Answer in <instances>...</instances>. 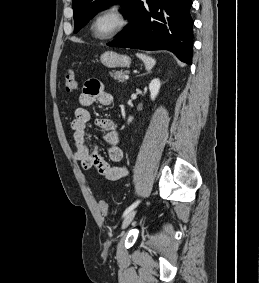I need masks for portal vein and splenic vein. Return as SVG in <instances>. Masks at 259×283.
<instances>
[{
    "instance_id": "obj_1",
    "label": "portal vein and splenic vein",
    "mask_w": 259,
    "mask_h": 283,
    "mask_svg": "<svg viewBox=\"0 0 259 283\" xmlns=\"http://www.w3.org/2000/svg\"><path fill=\"white\" fill-rule=\"evenodd\" d=\"M124 78H125V79H129V76H128V75H125Z\"/></svg>"
}]
</instances>
